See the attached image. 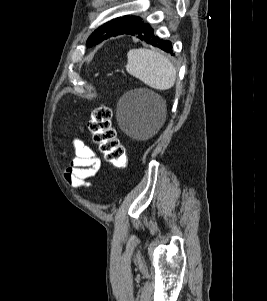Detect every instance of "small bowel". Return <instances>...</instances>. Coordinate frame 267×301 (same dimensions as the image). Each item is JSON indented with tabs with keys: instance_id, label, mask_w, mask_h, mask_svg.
Returning a JSON list of instances; mask_svg holds the SVG:
<instances>
[{
	"instance_id": "1",
	"label": "small bowel",
	"mask_w": 267,
	"mask_h": 301,
	"mask_svg": "<svg viewBox=\"0 0 267 301\" xmlns=\"http://www.w3.org/2000/svg\"><path fill=\"white\" fill-rule=\"evenodd\" d=\"M82 131V128H80ZM74 157L65 171L67 182L75 188H91L89 179L101 168V159L96 151L77 137L71 139Z\"/></svg>"
}]
</instances>
